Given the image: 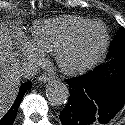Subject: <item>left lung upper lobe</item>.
Here are the masks:
<instances>
[{"instance_id": "1", "label": "left lung upper lobe", "mask_w": 125, "mask_h": 125, "mask_svg": "<svg viewBox=\"0 0 125 125\" xmlns=\"http://www.w3.org/2000/svg\"><path fill=\"white\" fill-rule=\"evenodd\" d=\"M111 48L109 49L108 55H120L125 54V29L121 28L116 34L115 38L112 41ZM117 45L115 48L112 47Z\"/></svg>"}]
</instances>
